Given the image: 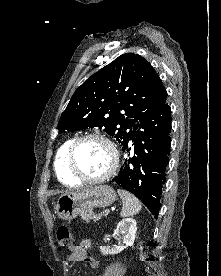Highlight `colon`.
I'll use <instances>...</instances> for the list:
<instances>
[{
	"instance_id": "5ec220e1",
	"label": "colon",
	"mask_w": 221,
	"mask_h": 276,
	"mask_svg": "<svg viewBox=\"0 0 221 276\" xmlns=\"http://www.w3.org/2000/svg\"><path fill=\"white\" fill-rule=\"evenodd\" d=\"M56 237H57V243L59 246L70 248V249L74 246L72 234L67 226L65 225L60 226L57 229Z\"/></svg>"
}]
</instances>
